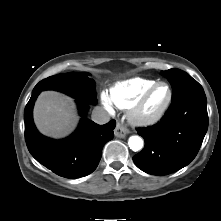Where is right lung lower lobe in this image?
<instances>
[{
  "label": "right lung lower lobe",
  "instance_id": "98d812e1",
  "mask_svg": "<svg viewBox=\"0 0 221 221\" xmlns=\"http://www.w3.org/2000/svg\"><path fill=\"white\" fill-rule=\"evenodd\" d=\"M41 91H33L25 107V140L31 155L42 165L65 178H79L92 173L102 156L103 146L114 137L116 122L105 125L82 118L77 130L68 138L53 140L41 135L33 122L34 102ZM82 116L89 102L77 100Z\"/></svg>",
  "mask_w": 221,
  "mask_h": 221
}]
</instances>
